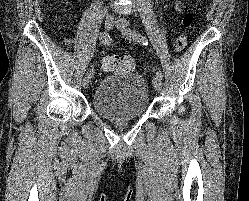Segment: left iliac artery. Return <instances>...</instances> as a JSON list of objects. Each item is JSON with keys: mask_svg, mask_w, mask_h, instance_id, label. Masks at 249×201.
<instances>
[{"mask_svg": "<svg viewBox=\"0 0 249 201\" xmlns=\"http://www.w3.org/2000/svg\"><path fill=\"white\" fill-rule=\"evenodd\" d=\"M129 35L130 37L135 40L136 42H139L143 45H148V42L145 40V37L142 36L140 33L133 31V30H129ZM156 76L160 77L162 79L163 75L162 72L160 70H158L156 72Z\"/></svg>", "mask_w": 249, "mask_h": 201, "instance_id": "left-iliac-artery-1", "label": "left iliac artery"}]
</instances>
